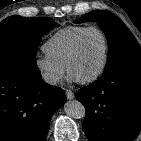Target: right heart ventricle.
<instances>
[{
	"label": "right heart ventricle",
	"mask_w": 141,
	"mask_h": 141,
	"mask_svg": "<svg viewBox=\"0 0 141 141\" xmlns=\"http://www.w3.org/2000/svg\"><path fill=\"white\" fill-rule=\"evenodd\" d=\"M87 26H68L54 33L43 45L47 56L66 67L68 56L78 36Z\"/></svg>",
	"instance_id": "1"
}]
</instances>
